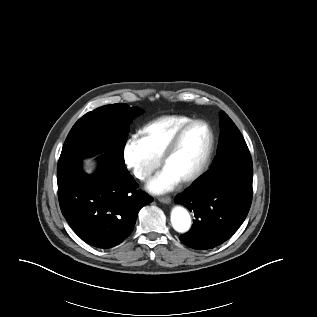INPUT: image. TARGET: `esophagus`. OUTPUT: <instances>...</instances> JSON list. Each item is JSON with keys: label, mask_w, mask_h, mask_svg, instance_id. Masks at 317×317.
<instances>
[{"label": "esophagus", "mask_w": 317, "mask_h": 317, "mask_svg": "<svg viewBox=\"0 0 317 317\" xmlns=\"http://www.w3.org/2000/svg\"><path fill=\"white\" fill-rule=\"evenodd\" d=\"M159 201L161 202V203H164V204H169V203H171V198L170 197H161V198H159Z\"/></svg>", "instance_id": "esophagus-1"}]
</instances>
